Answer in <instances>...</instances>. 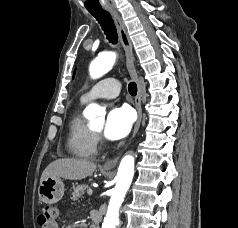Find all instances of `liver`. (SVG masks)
I'll list each match as a JSON object with an SVG mask.
<instances>
[{
    "label": "liver",
    "mask_w": 238,
    "mask_h": 228,
    "mask_svg": "<svg viewBox=\"0 0 238 228\" xmlns=\"http://www.w3.org/2000/svg\"><path fill=\"white\" fill-rule=\"evenodd\" d=\"M97 165L86 159L63 158L51 162L43 171L40 179L57 177L69 180H82L93 174Z\"/></svg>",
    "instance_id": "obj_1"
}]
</instances>
